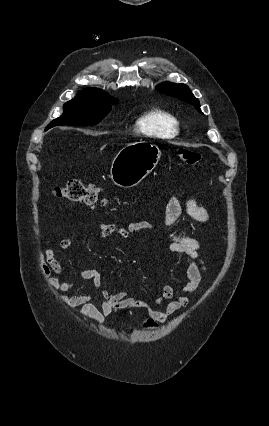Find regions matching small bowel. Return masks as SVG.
Returning <instances> with one entry per match:
<instances>
[{
  "mask_svg": "<svg viewBox=\"0 0 269 426\" xmlns=\"http://www.w3.org/2000/svg\"><path fill=\"white\" fill-rule=\"evenodd\" d=\"M183 210L196 221L208 224L211 222L210 212L199 206L194 199H187L182 203L179 199L171 198L165 209L166 224L170 231L165 242L167 249L171 252L180 254L184 257L186 267V281L176 289L173 285L163 286L160 294L153 303L136 298L125 291L110 292L100 291L101 303L95 305L91 302L89 294L66 295L65 293L75 289L76 283L72 280H60L53 274L64 276V269L55 257L52 248H48L40 255V267L46 282L56 291L61 293L59 300L70 308H80L81 315L100 323L107 316L117 309H144L147 314L157 322H165L169 317L189 305L190 298L186 295L197 293L203 285V275L207 270L206 263L200 255L201 243L176 229L180 221ZM98 228L97 238H109L118 235L127 238L130 234L144 231L155 230V227L147 221H135L129 223L126 227L116 224H96ZM73 242L70 238H65L60 242V248L63 251L68 250ZM80 277L83 280L92 281L96 289H101L102 277L97 267L90 264L89 267L81 271ZM167 303L164 310L156 307Z\"/></svg>",
  "mask_w": 269,
  "mask_h": 426,
  "instance_id": "c3829d8e",
  "label": "small bowel"
}]
</instances>
